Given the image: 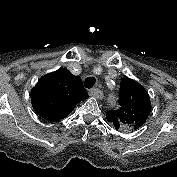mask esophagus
<instances>
[{"label": "esophagus", "instance_id": "obj_1", "mask_svg": "<svg viewBox=\"0 0 177 177\" xmlns=\"http://www.w3.org/2000/svg\"><path fill=\"white\" fill-rule=\"evenodd\" d=\"M90 95L92 97L97 98V99H102L103 98V92L100 89H98V88L91 89Z\"/></svg>", "mask_w": 177, "mask_h": 177}]
</instances>
